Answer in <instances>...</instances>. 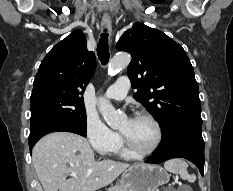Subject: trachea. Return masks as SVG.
<instances>
[{
	"instance_id": "obj_1",
	"label": "trachea",
	"mask_w": 233,
	"mask_h": 191,
	"mask_svg": "<svg viewBox=\"0 0 233 191\" xmlns=\"http://www.w3.org/2000/svg\"><path fill=\"white\" fill-rule=\"evenodd\" d=\"M106 31V30H105ZM108 33L101 34V38L97 45V55L102 65H106L109 61V49H108Z\"/></svg>"
}]
</instances>
